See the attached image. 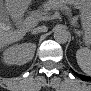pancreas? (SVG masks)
Here are the masks:
<instances>
[{
  "label": "pancreas",
  "mask_w": 91,
  "mask_h": 91,
  "mask_svg": "<svg viewBox=\"0 0 91 91\" xmlns=\"http://www.w3.org/2000/svg\"><path fill=\"white\" fill-rule=\"evenodd\" d=\"M51 9H67V7L58 1H49L43 5L42 11L36 12L35 15L38 17L40 14H48Z\"/></svg>",
  "instance_id": "obj_1"
}]
</instances>
